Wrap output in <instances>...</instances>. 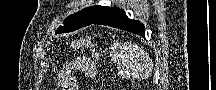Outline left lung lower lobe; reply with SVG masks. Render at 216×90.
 Returning <instances> with one entry per match:
<instances>
[{
	"mask_svg": "<svg viewBox=\"0 0 216 90\" xmlns=\"http://www.w3.org/2000/svg\"><path fill=\"white\" fill-rule=\"evenodd\" d=\"M93 24H102V25H108L115 28H120L135 34H139L143 37H145V27L144 25L137 21V20H131L129 19L125 12L121 9H117L110 14H108L106 17H104L101 20H98L97 22Z\"/></svg>",
	"mask_w": 216,
	"mask_h": 90,
	"instance_id": "obj_1",
	"label": "left lung lower lobe"
}]
</instances>
